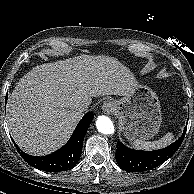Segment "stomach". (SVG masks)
<instances>
[{"instance_id":"0dacf381","label":"stomach","mask_w":194,"mask_h":194,"mask_svg":"<svg viewBox=\"0 0 194 194\" xmlns=\"http://www.w3.org/2000/svg\"><path fill=\"white\" fill-rule=\"evenodd\" d=\"M112 103V113L119 118L126 138L148 140L159 132L162 122L160 102L149 87L136 85Z\"/></svg>"}]
</instances>
